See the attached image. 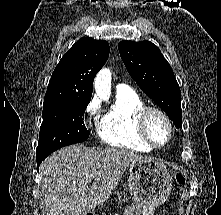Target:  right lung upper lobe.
<instances>
[{"label":"right lung upper lobe","instance_id":"right-lung-upper-lobe-1","mask_svg":"<svg viewBox=\"0 0 221 215\" xmlns=\"http://www.w3.org/2000/svg\"><path fill=\"white\" fill-rule=\"evenodd\" d=\"M107 41L79 39L62 57L49 81L44 103L91 100L93 80L108 59Z\"/></svg>","mask_w":221,"mask_h":215}]
</instances>
